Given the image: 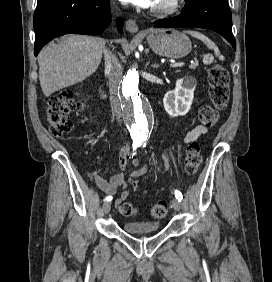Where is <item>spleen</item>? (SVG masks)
<instances>
[{"instance_id":"spleen-1","label":"spleen","mask_w":272,"mask_h":282,"mask_svg":"<svg viewBox=\"0 0 272 282\" xmlns=\"http://www.w3.org/2000/svg\"><path fill=\"white\" fill-rule=\"evenodd\" d=\"M187 33L190 34L191 36L201 40L203 43H205V45L208 47V49L214 50L215 55L218 56L220 60H224V57L222 55H220L219 49L216 46V44L213 41H211L208 37H206L205 35L197 32V31H187Z\"/></svg>"}]
</instances>
